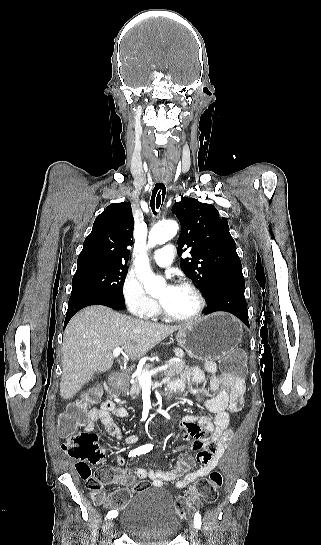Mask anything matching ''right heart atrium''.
<instances>
[{
	"instance_id": "right-heart-atrium-1",
	"label": "right heart atrium",
	"mask_w": 321,
	"mask_h": 545,
	"mask_svg": "<svg viewBox=\"0 0 321 545\" xmlns=\"http://www.w3.org/2000/svg\"><path fill=\"white\" fill-rule=\"evenodd\" d=\"M121 295L127 310L135 317L150 320L156 317L159 307L145 295L140 277L128 274L121 286Z\"/></svg>"
}]
</instances>
